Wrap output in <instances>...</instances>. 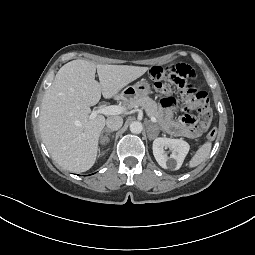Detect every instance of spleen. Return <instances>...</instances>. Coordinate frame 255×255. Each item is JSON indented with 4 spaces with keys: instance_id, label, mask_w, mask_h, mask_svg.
I'll list each match as a JSON object with an SVG mask.
<instances>
[{
    "instance_id": "3e777b00",
    "label": "spleen",
    "mask_w": 255,
    "mask_h": 255,
    "mask_svg": "<svg viewBox=\"0 0 255 255\" xmlns=\"http://www.w3.org/2000/svg\"><path fill=\"white\" fill-rule=\"evenodd\" d=\"M212 148V143L210 141L205 142L202 144L198 150L195 152L192 159L189 161L188 166L190 168H194L200 165L205 159L208 157Z\"/></svg>"
}]
</instances>
